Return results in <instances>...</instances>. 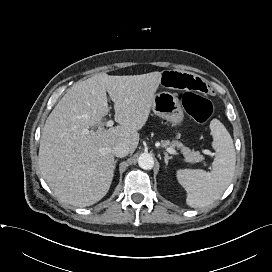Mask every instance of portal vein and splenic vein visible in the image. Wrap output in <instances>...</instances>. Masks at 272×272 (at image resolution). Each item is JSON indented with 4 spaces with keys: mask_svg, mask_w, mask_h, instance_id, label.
Wrapping results in <instances>:
<instances>
[{
    "mask_svg": "<svg viewBox=\"0 0 272 272\" xmlns=\"http://www.w3.org/2000/svg\"><path fill=\"white\" fill-rule=\"evenodd\" d=\"M113 124H114V122H113L112 120H109V121L106 122V126H107V127H111V126H113ZM85 133H86V134L88 133V130H87V129L85 130ZM166 150H167V152H169L170 154L178 155V152H177L175 149L171 148V147H167Z\"/></svg>",
    "mask_w": 272,
    "mask_h": 272,
    "instance_id": "1",
    "label": "portal vein and splenic vein"
}]
</instances>
